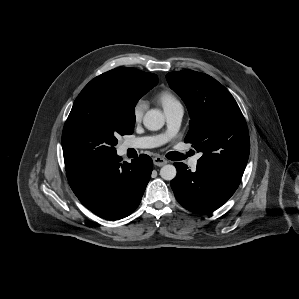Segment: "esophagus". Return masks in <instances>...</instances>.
Segmentation results:
<instances>
[{"label": "esophagus", "mask_w": 299, "mask_h": 299, "mask_svg": "<svg viewBox=\"0 0 299 299\" xmlns=\"http://www.w3.org/2000/svg\"><path fill=\"white\" fill-rule=\"evenodd\" d=\"M153 162H154V165L161 167L167 163V160L164 159L163 157L156 156L153 158Z\"/></svg>", "instance_id": "34e87169"}]
</instances>
